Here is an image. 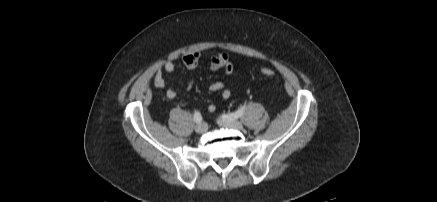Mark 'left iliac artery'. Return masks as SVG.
Returning <instances> with one entry per match:
<instances>
[{
	"instance_id": "44dca946",
	"label": "left iliac artery",
	"mask_w": 437,
	"mask_h": 202,
	"mask_svg": "<svg viewBox=\"0 0 437 202\" xmlns=\"http://www.w3.org/2000/svg\"><path fill=\"white\" fill-rule=\"evenodd\" d=\"M245 109H246V106L244 105V106L240 107V108H239L237 111H235V112H232V113H230V114H224V115H222V119L227 120V121H233V120H236V119H238L239 117H241V116L243 115Z\"/></svg>"
}]
</instances>
